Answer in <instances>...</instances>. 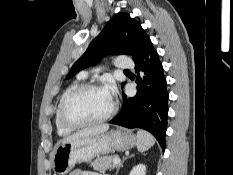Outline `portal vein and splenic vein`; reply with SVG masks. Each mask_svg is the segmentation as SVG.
Returning a JSON list of instances; mask_svg holds the SVG:
<instances>
[{
  "label": "portal vein and splenic vein",
  "mask_w": 233,
  "mask_h": 175,
  "mask_svg": "<svg viewBox=\"0 0 233 175\" xmlns=\"http://www.w3.org/2000/svg\"><path fill=\"white\" fill-rule=\"evenodd\" d=\"M120 161H121L120 158L117 157L114 159L113 164H118V163H120Z\"/></svg>",
  "instance_id": "obj_1"
}]
</instances>
